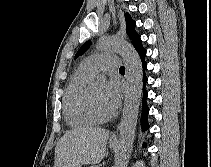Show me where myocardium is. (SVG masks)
Listing matches in <instances>:
<instances>
[{"label":"myocardium","instance_id":"1","mask_svg":"<svg viewBox=\"0 0 211 167\" xmlns=\"http://www.w3.org/2000/svg\"><path fill=\"white\" fill-rule=\"evenodd\" d=\"M85 104H86V108L88 113L90 114V116L95 120V122L97 123H105L108 122L109 120L112 119V115H107V116H103L100 115L93 104V100H92V96H91V92L90 89H87L86 92V96H85Z\"/></svg>","mask_w":211,"mask_h":167}]
</instances>
